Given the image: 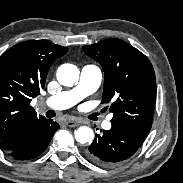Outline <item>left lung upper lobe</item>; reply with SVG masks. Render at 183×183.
<instances>
[{
  "mask_svg": "<svg viewBox=\"0 0 183 183\" xmlns=\"http://www.w3.org/2000/svg\"><path fill=\"white\" fill-rule=\"evenodd\" d=\"M82 49L103 68L102 103L111 104V123L148 135L156 99V78L148 58L120 39L100 41Z\"/></svg>",
  "mask_w": 183,
  "mask_h": 183,
  "instance_id": "left-lung-upper-lobe-1",
  "label": "left lung upper lobe"
}]
</instances>
